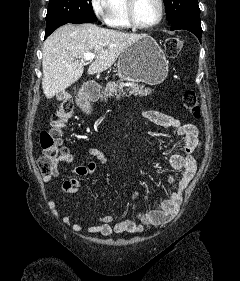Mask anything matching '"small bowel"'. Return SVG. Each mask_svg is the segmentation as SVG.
Instances as JSON below:
<instances>
[{
	"mask_svg": "<svg viewBox=\"0 0 240 281\" xmlns=\"http://www.w3.org/2000/svg\"><path fill=\"white\" fill-rule=\"evenodd\" d=\"M142 116L155 125L171 129L179 136L181 144L170 156L169 163L174 170L180 173V177L176 179L173 175H169L167 181L172 189L170 196L157 207L147 212L138 213L136 220L125 219L113 224L114 218L112 216L92 218L95 224L86 228L88 233L107 237L114 234L138 233L150 227H158L168 223L179 212L184 192L196 172L195 154L199 151L201 145L198 129L194 124H183L173 116L156 110H145L142 112ZM88 154L100 164L106 165L109 162L107 155L100 149L91 148ZM74 159L73 153L59 156L53 162V172L44 175V181H55L59 177L58 163H71ZM96 168L97 163L94 160L85 165L74 167L67 175L60 178L62 189L67 193H76L81 187L78 177L88 176L94 173ZM137 195L138 193L135 192L133 197L136 198ZM49 204L53 211H57L58 204L56 202L50 201ZM61 220L65 224L71 223L69 215L63 216ZM72 228L77 232L84 229L80 223L73 224Z\"/></svg>",
	"mask_w": 240,
	"mask_h": 281,
	"instance_id": "small-bowel-1",
	"label": "small bowel"
}]
</instances>
